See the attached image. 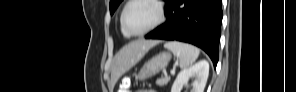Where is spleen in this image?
Here are the masks:
<instances>
[{"label": "spleen", "instance_id": "1", "mask_svg": "<svg viewBox=\"0 0 296 92\" xmlns=\"http://www.w3.org/2000/svg\"><path fill=\"white\" fill-rule=\"evenodd\" d=\"M179 59V66L185 69L191 66L199 56V49L193 45L178 41H170L164 44Z\"/></svg>", "mask_w": 296, "mask_h": 92}]
</instances>
